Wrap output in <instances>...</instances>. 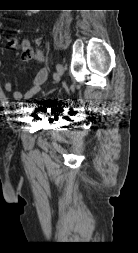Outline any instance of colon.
<instances>
[{
    "instance_id": "obj_1",
    "label": "colon",
    "mask_w": 138,
    "mask_h": 253,
    "mask_svg": "<svg viewBox=\"0 0 138 253\" xmlns=\"http://www.w3.org/2000/svg\"><path fill=\"white\" fill-rule=\"evenodd\" d=\"M33 57H38V55H35L30 48H28L24 51L23 58L30 59Z\"/></svg>"
}]
</instances>
